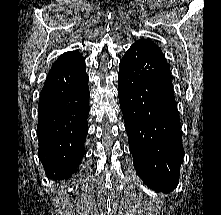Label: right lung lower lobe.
Instances as JSON below:
<instances>
[{"mask_svg":"<svg viewBox=\"0 0 221 215\" xmlns=\"http://www.w3.org/2000/svg\"><path fill=\"white\" fill-rule=\"evenodd\" d=\"M88 75L83 57L47 75L38 106L39 157L55 180L74 173L85 153Z\"/></svg>","mask_w":221,"mask_h":215,"instance_id":"right-lung-lower-lobe-1","label":"right lung lower lobe"}]
</instances>
